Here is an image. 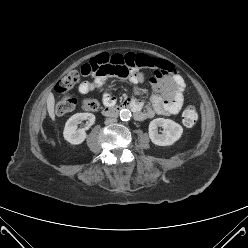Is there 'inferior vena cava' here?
Masks as SVG:
<instances>
[{
  "label": "inferior vena cava",
  "mask_w": 248,
  "mask_h": 248,
  "mask_svg": "<svg viewBox=\"0 0 248 248\" xmlns=\"http://www.w3.org/2000/svg\"><path fill=\"white\" fill-rule=\"evenodd\" d=\"M116 121H117L116 118H107V119L105 120V124H106V125H110V124L115 123Z\"/></svg>",
  "instance_id": "1"
}]
</instances>
